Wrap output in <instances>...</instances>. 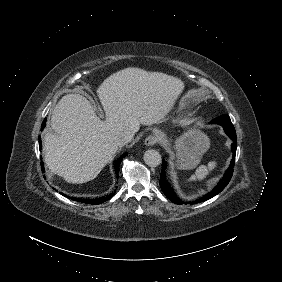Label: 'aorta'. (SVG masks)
I'll return each instance as SVG.
<instances>
[{
	"mask_svg": "<svg viewBox=\"0 0 282 282\" xmlns=\"http://www.w3.org/2000/svg\"><path fill=\"white\" fill-rule=\"evenodd\" d=\"M143 159H144V162L148 166L154 167V166H157V165L160 164V162H161V155L155 149H148V150H146L144 152Z\"/></svg>",
	"mask_w": 282,
	"mask_h": 282,
	"instance_id": "aorta-1",
	"label": "aorta"
}]
</instances>
